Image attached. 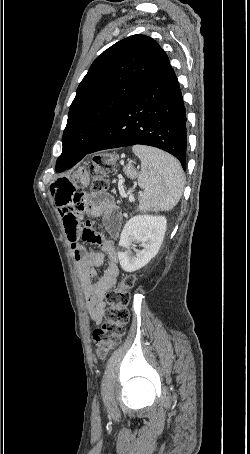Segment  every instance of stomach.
<instances>
[{
    "mask_svg": "<svg viewBox=\"0 0 250 454\" xmlns=\"http://www.w3.org/2000/svg\"><path fill=\"white\" fill-rule=\"evenodd\" d=\"M124 171L131 178H134L136 176V172H135L134 168L131 165H127L124 168Z\"/></svg>",
    "mask_w": 250,
    "mask_h": 454,
    "instance_id": "stomach-1",
    "label": "stomach"
}]
</instances>
